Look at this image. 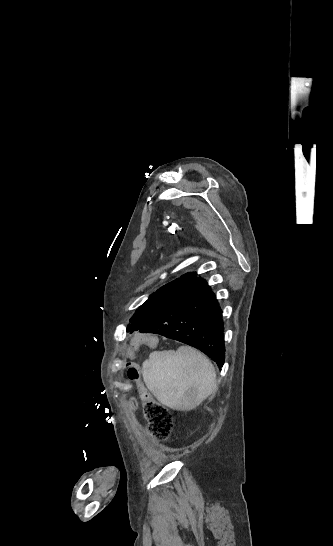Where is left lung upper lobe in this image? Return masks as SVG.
Masks as SVG:
<instances>
[{"label": "left lung upper lobe", "instance_id": "left-lung-upper-lobe-1", "mask_svg": "<svg viewBox=\"0 0 333 546\" xmlns=\"http://www.w3.org/2000/svg\"><path fill=\"white\" fill-rule=\"evenodd\" d=\"M196 273H187L162 286L143 303L133 315L136 326L143 327L160 309L176 300L196 278Z\"/></svg>", "mask_w": 333, "mask_h": 546}]
</instances>
